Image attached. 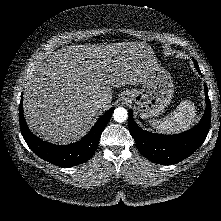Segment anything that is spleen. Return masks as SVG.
Returning a JSON list of instances; mask_svg holds the SVG:
<instances>
[{
    "mask_svg": "<svg viewBox=\"0 0 221 221\" xmlns=\"http://www.w3.org/2000/svg\"><path fill=\"white\" fill-rule=\"evenodd\" d=\"M196 116V108L189 100L182 101L166 118L150 120L151 126L160 133L177 134L191 127Z\"/></svg>",
    "mask_w": 221,
    "mask_h": 221,
    "instance_id": "obj_1",
    "label": "spleen"
}]
</instances>
